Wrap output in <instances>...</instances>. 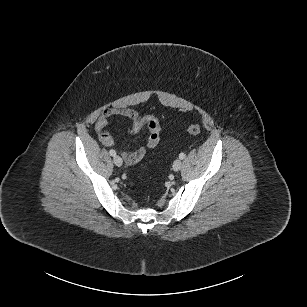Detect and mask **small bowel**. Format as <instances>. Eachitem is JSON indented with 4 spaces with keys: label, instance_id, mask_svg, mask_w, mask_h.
<instances>
[{
    "label": "small bowel",
    "instance_id": "obj_1",
    "mask_svg": "<svg viewBox=\"0 0 307 307\" xmlns=\"http://www.w3.org/2000/svg\"><path fill=\"white\" fill-rule=\"evenodd\" d=\"M114 118H124L132 123L128 132L136 134L143 128H148L149 137L146 146H141L134 151H128L120 147V152L129 165L135 164L144 158L148 150L155 148L160 140L161 126L158 119L152 115L141 117L135 109L131 108H110L105 110L95 124V131L99 141L105 146H112L114 139L107 131L108 123Z\"/></svg>",
    "mask_w": 307,
    "mask_h": 307
}]
</instances>
